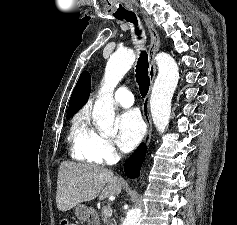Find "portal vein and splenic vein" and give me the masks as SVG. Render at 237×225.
Here are the masks:
<instances>
[{
  "label": "portal vein and splenic vein",
  "instance_id": "18ae733b",
  "mask_svg": "<svg viewBox=\"0 0 237 225\" xmlns=\"http://www.w3.org/2000/svg\"><path fill=\"white\" fill-rule=\"evenodd\" d=\"M102 213L105 217H110L112 216V209L110 206H105L102 208Z\"/></svg>",
  "mask_w": 237,
  "mask_h": 225
}]
</instances>
